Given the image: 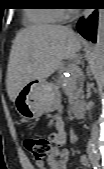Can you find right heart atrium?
Listing matches in <instances>:
<instances>
[{"label": "right heart atrium", "instance_id": "obj_1", "mask_svg": "<svg viewBox=\"0 0 104 169\" xmlns=\"http://www.w3.org/2000/svg\"><path fill=\"white\" fill-rule=\"evenodd\" d=\"M57 10L59 20L67 19L72 13L71 9H57Z\"/></svg>", "mask_w": 104, "mask_h": 169}]
</instances>
